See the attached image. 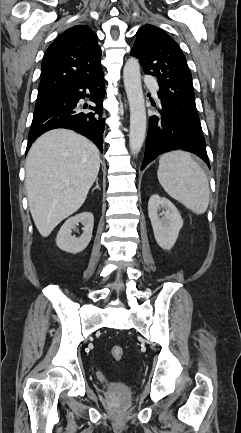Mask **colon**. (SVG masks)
Instances as JSON below:
<instances>
[{
  "instance_id": "1",
  "label": "colon",
  "mask_w": 241,
  "mask_h": 433,
  "mask_svg": "<svg viewBox=\"0 0 241 433\" xmlns=\"http://www.w3.org/2000/svg\"><path fill=\"white\" fill-rule=\"evenodd\" d=\"M124 351L121 346H113L111 348V355L114 359L120 360L123 357Z\"/></svg>"
}]
</instances>
